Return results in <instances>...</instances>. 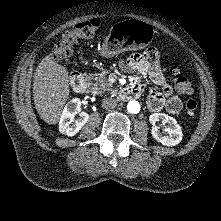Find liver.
Returning a JSON list of instances; mask_svg holds the SVG:
<instances>
[{
    "label": "liver",
    "instance_id": "obj_1",
    "mask_svg": "<svg viewBox=\"0 0 221 221\" xmlns=\"http://www.w3.org/2000/svg\"><path fill=\"white\" fill-rule=\"evenodd\" d=\"M66 67L46 56L33 76V100L44 122L56 124L70 95V78Z\"/></svg>",
    "mask_w": 221,
    "mask_h": 221
}]
</instances>
